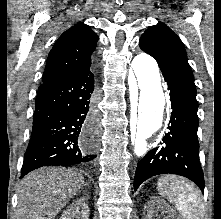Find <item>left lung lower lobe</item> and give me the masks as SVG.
Wrapping results in <instances>:
<instances>
[{"mask_svg": "<svg viewBox=\"0 0 221 219\" xmlns=\"http://www.w3.org/2000/svg\"><path fill=\"white\" fill-rule=\"evenodd\" d=\"M172 103L169 132L159 147L149 151L139 161L135 173L134 190L146 179L159 174H177L192 180L204 191V175L199 161L197 137L198 103L192 81L175 71L160 67Z\"/></svg>", "mask_w": 221, "mask_h": 219, "instance_id": "left-lung-lower-lobe-1", "label": "left lung lower lobe"}]
</instances>
